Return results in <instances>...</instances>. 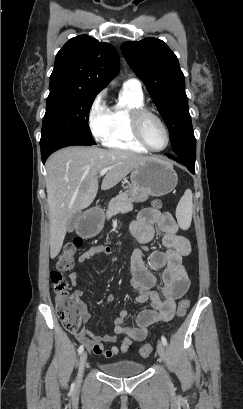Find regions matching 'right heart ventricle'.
<instances>
[{"label": "right heart ventricle", "mask_w": 243, "mask_h": 409, "mask_svg": "<svg viewBox=\"0 0 243 409\" xmlns=\"http://www.w3.org/2000/svg\"><path fill=\"white\" fill-rule=\"evenodd\" d=\"M144 107L143 93L123 88L120 101L110 109L112 128L104 143L109 148L148 153L135 138L130 123V114L136 108Z\"/></svg>", "instance_id": "e07e8e85"}]
</instances>
